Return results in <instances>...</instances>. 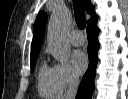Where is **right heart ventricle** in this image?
<instances>
[{
  "instance_id": "1",
  "label": "right heart ventricle",
  "mask_w": 128,
  "mask_h": 99,
  "mask_svg": "<svg viewBox=\"0 0 128 99\" xmlns=\"http://www.w3.org/2000/svg\"><path fill=\"white\" fill-rule=\"evenodd\" d=\"M38 92L44 98H55L61 94L53 75L52 68L43 64L37 78Z\"/></svg>"
}]
</instances>
